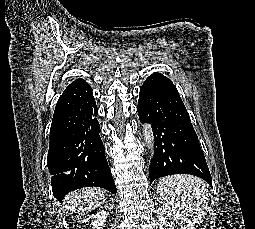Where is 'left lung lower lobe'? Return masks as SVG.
Masks as SVG:
<instances>
[{"label": "left lung lower lobe", "mask_w": 255, "mask_h": 229, "mask_svg": "<svg viewBox=\"0 0 255 229\" xmlns=\"http://www.w3.org/2000/svg\"><path fill=\"white\" fill-rule=\"evenodd\" d=\"M137 110L140 121L154 131L150 184L167 175L191 174L212 186L197 134L173 82L161 73L151 74L140 88Z\"/></svg>", "instance_id": "1"}]
</instances>
